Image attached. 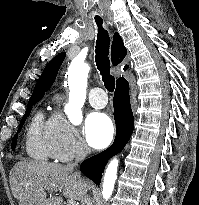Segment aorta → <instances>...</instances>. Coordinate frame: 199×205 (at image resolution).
<instances>
[{
	"label": "aorta",
	"mask_w": 199,
	"mask_h": 205,
	"mask_svg": "<svg viewBox=\"0 0 199 205\" xmlns=\"http://www.w3.org/2000/svg\"><path fill=\"white\" fill-rule=\"evenodd\" d=\"M90 67L86 63L73 61L68 69L69 103L66 113L71 123L78 125L82 121L81 107L86 99L87 78ZM118 159L114 158L108 164L103 181L102 195L108 200L114 190L117 179Z\"/></svg>",
	"instance_id": "1"
}]
</instances>
